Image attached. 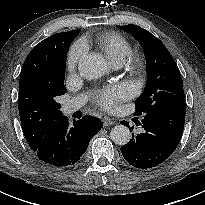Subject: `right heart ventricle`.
I'll return each instance as SVG.
<instances>
[{
    "mask_svg": "<svg viewBox=\"0 0 205 205\" xmlns=\"http://www.w3.org/2000/svg\"><path fill=\"white\" fill-rule=\"evenodd\" d=\"M95 43L106 54L113 66L122 65L132 53L129 41L117 32L99 33L95 37Z\"/></svg>",
    "mask_w": 205,
    "mask_h": 205,
    "instance_id": "obj_1",
    "label": "right heart ventricle"
}]
</instances>
